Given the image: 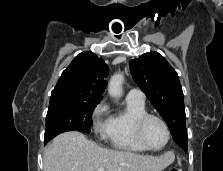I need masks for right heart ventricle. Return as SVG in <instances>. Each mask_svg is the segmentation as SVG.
<instances>
[{
	"label": "right heart ventricle",
	"instance_id": "right-heart-ventricle-1",
	"mask_svg": "<svg viewBox=\"0 0 223 171\" xmlns=\"http://www.w3.org/2000/svg\"><path fill=\"white\" fill-rule=\"evenodd\" d=\"M144 102L126 99L125 111L116 112L109 118V127L106 139L116 149L131 152L144 153L145 148L135 134V122L144 114H147Z\"/></svg>",
	"mask_w": 223,
	"mask_h": 171
}]
</instances>
